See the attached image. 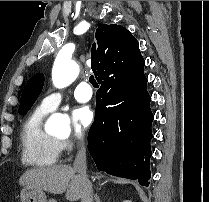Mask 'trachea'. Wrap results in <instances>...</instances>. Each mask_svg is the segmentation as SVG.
Here are the masks:
<instances>
[{
	"instance_id": "1",
	"label": "trachea",
	"mask_w": 209,
	"mask_h": 202,
	"mask_svg": "<svg viewBox=\"0 0 209 202\" xmlns=\"http://www.w3.org/2000/svg\"><path fill=\"white\" fill-rule=\"evenodd\" d=\"M89 80L93 87L98 88V83L93 76Z\"/></svg>"
}]
</instances>
